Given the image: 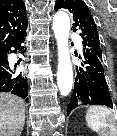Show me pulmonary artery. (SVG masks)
<instances>
[{
  "label": "pulmonary artery",
  "instance_id": "1",
  "mask_svg": "<svg viewBox=\"0 0 117 136\" xmlns=\"http://www.w3.org/2000/svg\"><path fill=\"white\" fill-rule=\"evenodd\" d=\"M75 42L78 48H82L81 40L78 37H75Z\"/></svg>",
  "mask_w": 117,
  "mask_h": 136
}]
</instances>
